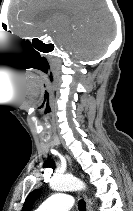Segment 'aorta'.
<instances>
[{"label":"aorta","mask_w":133,"mask_h":211,"mask_svg":"<svg viewBox=\"0 0 133 211\" xmlns=\"http://www.w3.org/2000/svg\"><path fill=\"white\" fill-rule=\"evenodd\" d=\"M50 188L55 191L84 190L86 185L83 181L71 175H58L50 181Z\"/></svg>","instance_id":"762f6f07"}]
</instances>
